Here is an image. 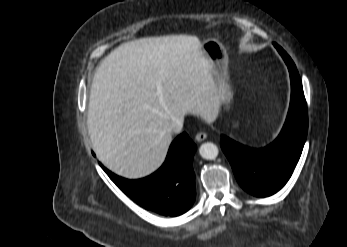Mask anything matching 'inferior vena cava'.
<instances>
[{"instance_id":"inferior-vena-cava-1","label":"inferior vena cava","mask_w":347,"mask_h":247,"mask_svg":"<svg viewBox=\"0 0 347 247\" xmlns=\"http://www.w3.org/2000/svg\"><path fill=\"white\" fill-rule=\"evenodd\" d=\"M183 128V119L182 118H175L171 125L168 128V131L170 133H180Z\"/></svg>"}]
</instances>
